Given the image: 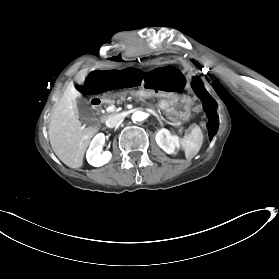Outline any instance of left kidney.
I'll use <instances>...</instances> for the list:
<instances>
[{"mask_svg": "<svg viewBox=\"0 0 279 279\" xmlns=\"http://www.w3.org/2000/svg\"><path fill=\"white\" fill-rule=\"evenodd\" d=\"M156 142L167 154H174L179 146L178 137L172 135L168 129L162 128L156 133Z\"/></svg>", "mask_w": 279, "mask_h": 279, "instance_id": "left-kidney-1", "label": "left kidney"}]
</instances>
